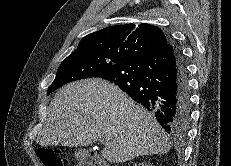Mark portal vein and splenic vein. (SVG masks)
I'll list each match as a JSON object with an SVG mask.
<instances>
[{
    "label": "portal vein and splenic vein",
    "instance_id": "obj_1",
    "mask_svg": "<svg viewBox=\"0 0 231 166\" xmlns=\"http://www.w3.org/2000/svg\"><path fill=\"white\" fill-rule=\"evenodd\" d=\"M101 142H103L104 144H108L109 140L108 139H101Z\"/></svg>",
    "mask_w": 231,
    "mask_h": 166
}]
</instances>
